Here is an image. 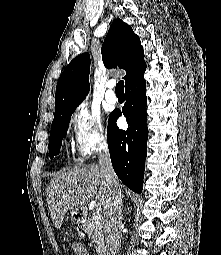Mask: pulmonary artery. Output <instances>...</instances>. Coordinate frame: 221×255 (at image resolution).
Listing matches in <instances>:
<instances>
[{
    "label": "pulmonary artery",
    "instance_id": "pulmonary-artery-1",
    "mask_svg": "<svg viewBox=\"0 0 221 255\" xmlns=\"http://www.w3.org/2000/svg\"><path fill=\"white\" fill-rule=\"evenodd\" d=\"M114 86H115L114 82H112V81L108 82L107 83L108 90L105 93L106 101L111 104H115L118 101V98H117L115 92L113 91Z\"/></svg>",
    "mask_w": 221,
    "mask_h": 255
}]
</instances>
